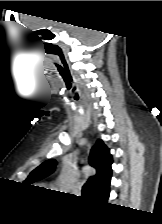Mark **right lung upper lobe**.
<instances>
[{
	"label": "right lung upper lobe",
	"instance_id": "cb5924a9",
	"mask_svg": "<svg viewBox=\"0 0 162 224\" xmlns=\"http://www.w3.org/2000/svg\"><path fill=\"white\" fill-rule=\"evenodd\" d=\"M112 162L113 160L109 149L105 146L103 141L99 139L91 149L89 156L90 165L96 169L95 176L89 178V183L91 185L90 194L92 197L100 198L110 191ZM56 164L57 162L54 159L43 162L29 174L25 182L31 184L50 175Z\"/></svg>",
	"mask_w": 162,
	"mask_h": 224
}]
</instances>
